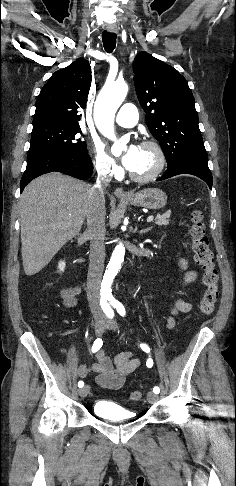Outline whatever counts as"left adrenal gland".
<instances>
[{"label":"left adrenal gland","mask_w":236,"mask_h":486,"mask_svg":"<svg viewBox=\"0 0 236 486\" xmlns=\"http://www.w3.org/2000/svg\"><path fill=\"white\" fill-rule=\"evenodd\" d=\"M150 230H151V227H148V228H146V229L141 230V231H140V234L147 233V232H148V231H150Z\"/></svg>","instance_id":"left-adrenal-gland-1"}]
</instances>
